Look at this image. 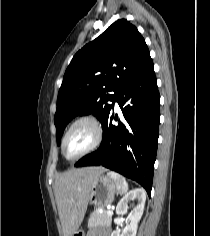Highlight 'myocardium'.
I'll list each match as a JSON object with an SVG mask.
<instances>
[{
  "instance_id": "1",
  "label": "myocardium",
  "mask_w": 210,
  "mask_h": 236,
  "mask_svg": "<svg viewBox=\"0 0 210 236\" xmlns=\"http://www.w3.org/2000/svg\"><path fill=\"white\" fill-rule=\"evenodd\" d=\"M80 123H88L92 126V128L94 130L93 142L91 143V145L88 148H86L84 151H82L78 155H76L72 158H68L64 152V145H65L66 138L68 137L71 130L76 125H78ZM103 138H104L103 126H102L101 122L96 117L91 116V115H84V116L78 117L70 123V125L67 127V129L65 130V132L62 136L61 143H60L61 154L67 161H70V162L76 161V160L86 156L87 154L91 153L95 149H97L101 145Z\"/></svg>"
}]
</instances>
